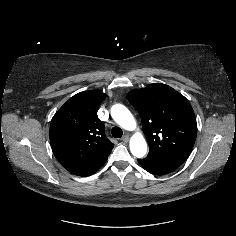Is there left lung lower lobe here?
<instances>
[{
    "label": "left lung lower lobe",
    "mask_w": 236,
    "mask_h": 236,
    "mask_svg": "<svg viewBox=\"0 0 236 236\" xmlns=\"http://www.w3.org/2000/svg\"><path fill=\"white\" fill-rule=\"evenodd\" d=\"M140 165L149 173L154 175H165L168 174L174 170H176L177 166H164V165H156L153 163H150L148 161L138 160Z\"/></svg>",
    "instance_id": "obj_1"
}]
</instances>
